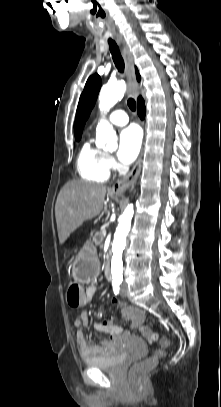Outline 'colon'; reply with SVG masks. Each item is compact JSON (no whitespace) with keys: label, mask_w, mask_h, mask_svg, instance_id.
<instances>
[{"label":"colon","mask_w":221,"mask_h":407,"mask_svg":"<svg viewBox=\"0 0 221 407\" xmlns=\"http://www.w3.org/2000/svg\"><path fill=\"white\" fill-rule=\"evenodd\" d=\"M66 303L69 306L70 311H81L83 308L84 292L80 291V286L77 283H73L66 293ZM119 315L123 316L124 321L130 323L132 330L139 328L140 332L149 341H156L157 334L144 324L146 315L141 309H136L134 305H121L119 307ZM164 346L168 345V341L164 339L162 341ZM164 350H157L152 356L146 358L143 361L135 363L129 372L130 381L133 384H138L144 378L145 374L151 370L157 363V361L165 356Z\"/></svg>","instance_id":"obj_1"}]
</instances>
